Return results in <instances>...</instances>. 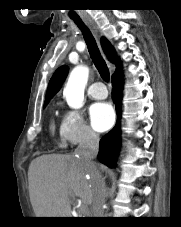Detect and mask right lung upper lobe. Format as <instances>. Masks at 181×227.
I'll use <instances>...</instances> for the list:
<instances>
[{
  "label": "right lung upper lobe",
  "mask_w": 181,
  "mask_h": 227,
  "mask_svg": "<svg viewBox=\"0 0 181 227\" xmlns=\"http://www.w3.org/2000/svg\"><path fill=\"white\" fill-rule=\"evenodd\" d=\"M101 45L108 60L114 63L118 69L120 67V60L117 57L115 49L104 37L101 38ZM67 74L68 67L66 65L61 66L55 71V73L53 74L52 78L49 81L45 102H49V100L59 91L64 80L66 79Z\"/></svg>",
  "instance_id": "1"
}]
</instances>
